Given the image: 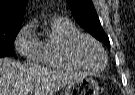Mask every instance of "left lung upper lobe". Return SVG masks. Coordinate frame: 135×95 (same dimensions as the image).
I'll list each match as a JSON object with an SVG mask.
<instances>
[{
    "label": "left lung upper lobe",
    "instance_id": "5c2ea615",
    "mask_svg": "<svg viewBox=\"0 0 135 95\" xmlns=\"http://www.w3.org/2000/svg\"><path fill=\"white\" fill-rule=\"evenodd\" d=\"M73 17L86 31L110 48L109 38L101 27L92 0H67Z\"/></svg>",
    "mask_w": 135,
    "mask_h": 95
}]
</instances>
